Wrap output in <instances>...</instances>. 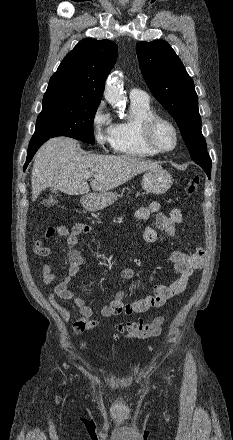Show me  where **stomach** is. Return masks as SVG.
I'll use <instances>...</instances> for the list:
<instances>
[{"instance_id":"stomach-1","label":"stomach","mask_w":233,"mask_h":440,"mask_svg":"<svg viewBox=\"0 0 233 440\" xmlns=\"http://www.w3.org/2000/svg\"><path fill=\"white\" fill-rule=\"evenodd\" d=\"M172 184V176L162 167L149 170L142 177V187L148 193L163 194ZM117 198L118 194L115 192L91 193L83 196L81 203L85 209L97 211L110 206Z\"/></svg>"}]
</instances>
